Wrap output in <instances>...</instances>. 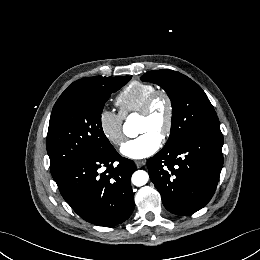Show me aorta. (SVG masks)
<instances>
[{
	"mask_svg": "<svg viewBox=\"0 0 260 260\" xmlns=\"http://www.w3.org/2000/svg\"><path fill=\"white\" fill-rule=\"evenodd\" d=\"M123 132L128 137H135L138 135L137 126L131 119H128L124 123ZM148 180H149V175L144 170L135 171L131 178L132 183L137 187L145 185L148 182Z\"/></svg>",
	"mask_w": 260,
	"mask_h": 260,
	"instance_id": "1",
	"label": "aorta"
}]
</instances>
